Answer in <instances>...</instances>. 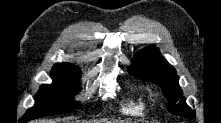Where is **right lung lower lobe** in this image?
I'll return each mask as SVG.
<instances>
[{"instance_id":"98d812e1","label":"right lung lower lobe","mask_w":221,"mask_h":123,"mask_svg":"<svg viewBox=\"0 0 221 123\" xmlns=\"http://www.w3.org/2000/svg\"><path fill=\"white\" fill-rule=\"evenodd\" d=\"M24 120H25V121H29V120H31V119H28V118H25V117H24Z\"/></svg>"}]
</instances>
